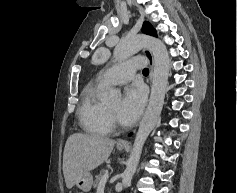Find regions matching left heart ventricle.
I'll return each mask as SVG.
<instances>
[{
  "instance_id": "obj_1",
  "label": "left heart ventricle",
  "mask_w": 237,
  "mask_h": 193,
  "mask_svg": "<svg viewBox=\"0 0 237 193\" xmlns=\"http://www.w3.org/2000/svg\"><path fill=\"white\" fill-rule=\"evenodd\" d=\"M107 108L119 120L118 114H119V110H120V104H118V103L117 104H113V105L108 106Z\"/></svg>"
}]
</instances>
